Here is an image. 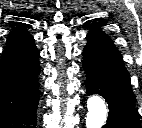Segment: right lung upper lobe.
Listing matches in <instances>:
<instances>
[{
	"instance_id": "cb5924a9",
	"label": "right lung upper lobe",
	"mask_w": 142,
	"mask_h": 128,
	"mask_svg": "<svg viewBox=\"0 0 142 128\" xmlns=\"http://www.w3.org/2000/svg\"><path fill=\"white\" fill-rule=\"evenodd\" d=\"M17 24L7 39L1 59L15 55L33 43V37L25 29L24 23L17 22Z\"/></svg>"
}]
</instances>
